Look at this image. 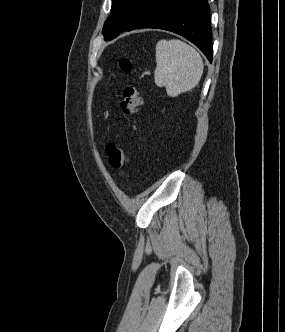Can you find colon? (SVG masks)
Returning <instances> with one entry per match:
<instances>
[{"label": "colon", "instance_id": "obj_1", "mask_svg": "<svg viewBox=\"0 0 285 332\" xmlns=\"http://www.w3.org/2000/svg\"><path fill=\"white\" fill-rule=\"evenodd\" d=\"M120 67L125 72H131L133 70V64L130 59L123 58L120 61ZM142 94L139 87L135 83L129 84L123 91L120 107L123 115L126 118L133 117L138 113L142 105ZM105 153L108 159L109 166L113 170H119L126 165L128 162V157L114 144H107L105 147Z\"/></svg>", "mask_w": 285, "mask_h": 332}]
</instances>
